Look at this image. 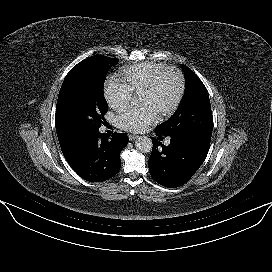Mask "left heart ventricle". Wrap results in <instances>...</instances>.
I'll return each mask as SVG.
<instances>
[{"label": "left heart ventricle", "instance_id": "left-heart-ventricle-1", "mask_svg": "<svg viewBox=\"0 0 272 272\" xmlns=\"http://www.w3.org/2000/svg\"><path fill=\"white\" fill-rule=\"evenodd\" d=\"M178 91L179 78L177 74L168 72L154 90L139 95V102L152 106L158 114H161L174 103Z\"/></svg>", "mask_w": 272, "mask_h": 272}]
</instances>
